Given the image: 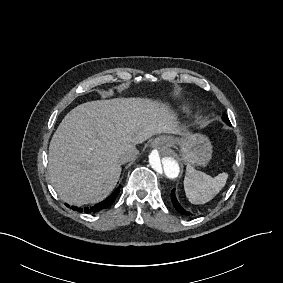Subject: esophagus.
Segmentation results:
<instances>
[{"mask_svg":"<svg viewBox=\"0 0 283 283\" xmlns=\"http://www.w3.org/2000/svg\"><path fill=\"white\" fill-rule=\"evenodd\" d=\"M168 142V137L167 136H160L154 139L153 145L155 146H163Z\"/></svg>","mask_w":283,"mask_h":283,"instance_id":"34e87169","label":"esophagus"}]
</instances>
